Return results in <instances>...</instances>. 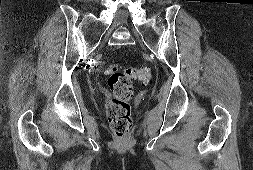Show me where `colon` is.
<instances>
[{"mask_svg":"<svg viewBox=\"0 0 253 170\" xmlns=\"http://www.w3.org/2000/svg\"><path fill=\"white\" fill-rule=\"evenodd\" d=\"M108 84L112 97L107 103V118L118 140L128 137L131 126L130 100L133 95V81L147 83L152 78L149 67H130L121 69L116 62L107 65Z\"/></svg>","mask_w":253,"mask_h":170,"instance_id":"5ec220e1","label":"colon"}]
</instances>
